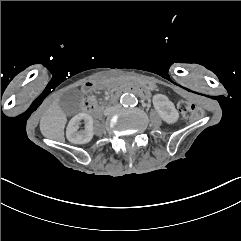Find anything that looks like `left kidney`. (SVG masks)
I'll return each mask as SVG.
<instances>
[{
  "instance_id": "5707ae66",
  "label": "left kidney",
  "mask_w": 241,
  "mask_h": 241,
  "mask_svg": "<svg viewBox=\"0 0 241 241\" xmlns=\"http://www.w3.org/2000/svg\"><path fill=\"white\" fill-rule=\"evenodd\" d=\"M152 104L161 120L166 124H176L180 114L174 103L164 94L152 96Z\"/></svg>"
}]
</instances>
